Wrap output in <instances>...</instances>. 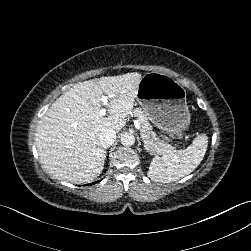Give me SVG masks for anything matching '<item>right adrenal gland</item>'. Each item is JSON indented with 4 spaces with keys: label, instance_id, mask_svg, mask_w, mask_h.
Masks as SVG:
<instances>
[{
    "label": "right adrenal gland",
    "instance_id": "1",
    "mask_svg": "<svg viewBox=\"0 0 251 251\" xmlns=\"http://www.w3.org/2000/svg\"><path fill=\"white\" fill-rule=\"evenodd\" d=\"M107 155L106 150H105V156Z\"/></svg>",
    "mask_w": 251,
    "mask_h": 251
}]
</instances>
